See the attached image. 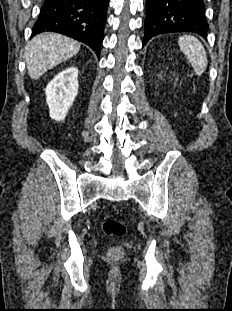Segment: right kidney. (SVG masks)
<instances>
[{"instance_id": "right-kidney-1", "label": "right kidney", "mask_w": 232, "mask_h": 311, "mask_svg": "<svg viewBox=\"0 0 232 311\" xmlns=\"http://www.w3.org/2000/svg\"><path fill=\"white\" fill-rule=\"evenodd\" d=\"M45 92L50 117L55 121L64 120L78 93V69L71 66L58 73Z\"/></svg>"}]
</instances>
